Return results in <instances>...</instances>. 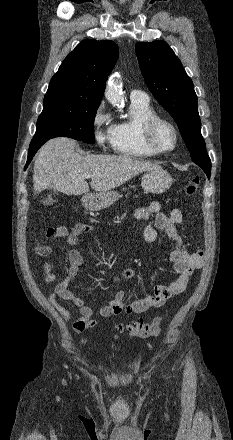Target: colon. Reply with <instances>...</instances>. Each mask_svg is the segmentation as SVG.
<instances>
[{"label": "colon", "instance_id": "5ec220e1", "mask_svg": "<svg viewBox=\"0 0 233 440\" xmlns=\"http://www.w3.org/2000/svg\"><path fill=\"white\" fill-rule=\"evenodd\" d=\"M199 185V179L193 178L191 179L184 188V192L186 195H193ZM44 205L48 207H52L56 205V201L53 198H47L44 200ZM162 320L157 319L150 324H144L140 320H133L128 322L125 325H121L118 327V331L120 333H126L131 337L138 338H146V337H154L157 336L161 331Z\"/></svg>", "mask_w": 233, "mask_h": 440}]
</instances>
